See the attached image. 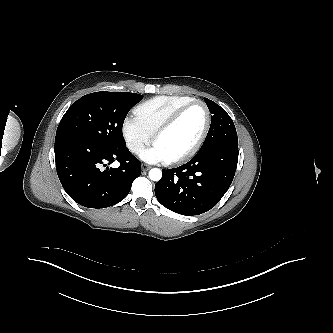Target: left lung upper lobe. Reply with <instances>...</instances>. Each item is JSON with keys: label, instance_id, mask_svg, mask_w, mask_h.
Instances as JSON below:
<instances>
[{"label": "left lung upper lobe", "instance_id": "obj_1", "mask_svg": "<svg viewBox=\"0 0 333 333\" xmlns=\"http://www.w3.org/2000/svg\"><path fill=\"white\" fill-rule=\"evenodd\" d=\"M205 102L212 115L211 126L201 149L222 142L238 143L234 123L227 112L215 102L207 98H205Z\"/></svg>", "mask_w": 333, "mask_h": 333}]
</instances>
